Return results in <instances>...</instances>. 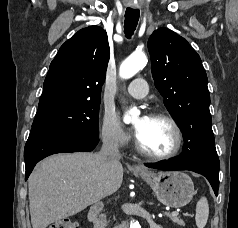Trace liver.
<instances>
[{"label":"liver","instance_id":"liver-1","mask_svg":"<svg viewBox=\"0 0 238 228\" xmlns=\"http://www.w3.org/2000/svg\"><path fill=\"white\" fill-rule=\"evenodd\" d=\"M123 180L120 161L103 160L95 153L50 156L28 179L33 228H46L84 210L117 191Z\"/></svg>","mask_w":238,"mask_h":228}]
</instances>
